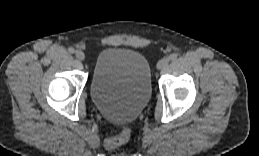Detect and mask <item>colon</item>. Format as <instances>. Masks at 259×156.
<instances>
[{
	"label": "colon",
	"mask_w": 259,
	"mask_h": 156,
	"mask_svg": "<svg viewBox=\"0 0 259 156\" xmlns=\"http://www.w3.org/2000/svg\"><path fill=\"white\" fill-rule=\"evenodd\" d=\"M130 130L126 127L122 128V130L120 131V133L116 136H112L109 137L108 139H106L105 141V145L107 148L109 149H114L117 148L123 144H125L126 142H128L129 138H130Z\"/></svg>",
	"instance_id": "obj_1"
}]
</instances>
